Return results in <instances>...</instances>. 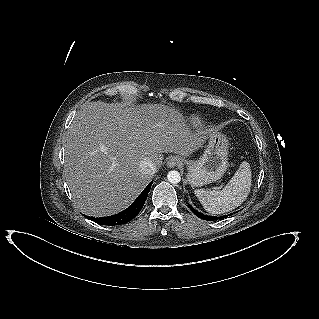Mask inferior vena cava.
Returning <instances> with one entry per match:
<instances>
[{"instance_id":"602c4592","label":"inferior vena cava","mask_w":319,"mask_h":319,"mask_svg":"<svg viewBox=\"0 0 319 319\" xmlns=\"http://www.w3.org/2000/svg\"><path fill=\"white\" fill-rule=\"evenodd\" d=\"M140 171L143 174H148V175H153L155 174L157 168L156 165L148 158H144L141 162H140Z\"/></svg>"}]
</instances>
